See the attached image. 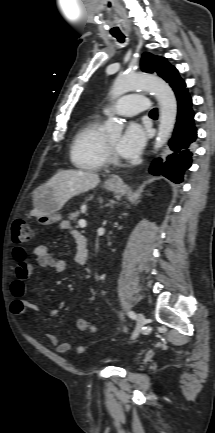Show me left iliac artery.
<instances>
[{
	"label": "left iliac artery",
	"instance_id": "obj_1",
	"mask_svg": "<svg viewBox=\"0 0 215 433\" xmlns=\"http://www.w3.org/2000/svg\"><path fill=\"white\" fill-rule=\"evenodd\" d=\"M128 315H129L130 318L136 319V314L133 311H129Z\"/></svg>",
	"mask_w": 215,
	"mask_h": 433
}]
</instances>
